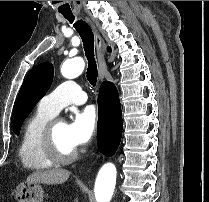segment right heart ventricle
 Here are the masks:
<instances>
[{
	"instance_id": "obj_1",
	"label": "right heart ventricle",
	"mask_w": 209,
	"mask_h": 202,
	"mask_svg": "<svg viewBox=\"0 0 209 202\" xmlns=\"http://www.w3.org/2000/svg\"><path fill=\"white\" fill-rule=\"evenodd\" d=\"M53 117L54 115L39 108L23 125L18 155L25 167L43 170L53 165V161L46 155L41 144L43 130Z\"/></svg>"
}]
</instances>
